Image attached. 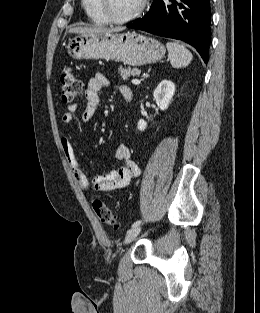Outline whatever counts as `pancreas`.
Here are the masks:
<instances>
[{"label":"pancreas","mask_w":260,"mask_h":313,"mask_svg":"<svg viewBox=\"0 0 260 313\" xmlns=\"http://www.w3.org/2000/svg\"><path fill=\"white\" fill-rule=\"evenodd\" d=\"M119 73L120 76L124 79L127 80L130 76H138L140 74V70L137 68H130V67H119Z\"/></svg>","instance_id":"pancreas-1"}]
</instances>
